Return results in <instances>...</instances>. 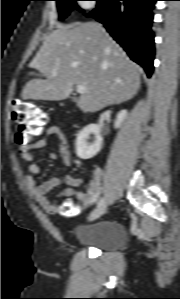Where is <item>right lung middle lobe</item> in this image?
Listing matches in <instances>:
<instances>
[{
	"instance_id": "dd1d6c3e",
	"label": "right lung middle lobe",
	"mask_w": 180,
	"mask_h": 299,
	"mask_svg": "<svg viewBox=\"0 0 180 299\" xmlns=\"http://www.w3.org/2000/svg\"><path fill=\"white\" fill-rule=\"evenodd\" d=\"M56 1H57L58 11H59V20H63L73 9L83 11L76 4V1L78 0H56ZM95 1H97V5H98L103 0H95Z\"/></svg>"
}]
</instances>
